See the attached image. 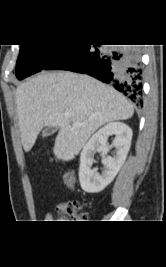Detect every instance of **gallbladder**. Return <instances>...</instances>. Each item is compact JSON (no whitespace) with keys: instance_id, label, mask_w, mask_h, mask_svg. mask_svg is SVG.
Returning a JSON list of instances; mask_svg holds the SVG:
<instances>
[{"instance_id":"gallbladder-1","label":"gallbladder","mask_w":166,"mask_h":267,"mask_svg":"<svg viewBox=\"0 0 166 267\" xmlns=\"http://www.w3.org/2000/svg\"><path fill=\"white\" fill-rule=\"evenodd\" d=\"M57 130V127H47L42 132V137H47L53 134Z\"/></svg>"}]
</instances>
